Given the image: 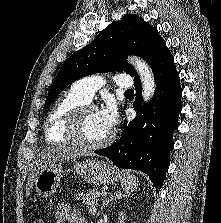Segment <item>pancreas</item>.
Here are the masks:
<instances>
[{"label": "pancreas", "mask_w": 221, "mask_h": 223, "mask_svg": "<svg viewBox=\"0 0 221 223\" xmlns=\"http://www.w3.org/2000/svg\"><path fill=\"white\" fill-rule=\"evenodd\" d=\"M102 192L100 190L97 189H93L91 191H89L87 194H85L84 196H81L80 194L76 196V199L78 200H82L84 204H86L87 206V211L92 214L95 215L97 213V206H98V202H99V198L100 196H102Z\"/></svg>", "instance_id": "obj_1"}]
</instances>
